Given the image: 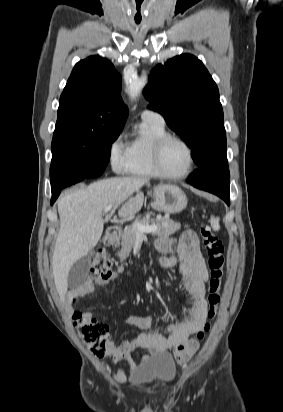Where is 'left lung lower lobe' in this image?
<instances>
[{"label": "left lung lower lobe", "instance_id": "obj_1", "mask_svg": "<svg viewBox=\"0 0 283 412\" xmlns=\"http://www.w3.org/2000/svg\"><path fill=\"white\" fill-rule=\"evenodd\" d=\"M210 164L196 170L187 180L194 187L211 192L222 198L228 205L229 180L227 157L224 151L218 150L211 153Z\"/></svg>", "mask_w": 283, "mask_h": 412}]
</instances>
